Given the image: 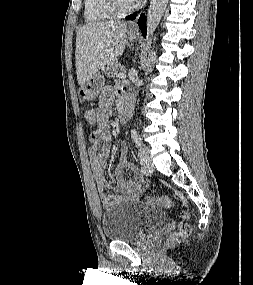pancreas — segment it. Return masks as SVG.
<instances>
[{"instance_id": "pancreas-1", "label": "pancreas", "mask_w": 253, "mask_h": 285, "mask_svg": "<svg viewBox=\"0 0 253 285\" xmlns=\"http://www.w3.org/2000/svg\"><path fill=\"white\" fill-rule=\"evenodd\" d=\"M124 68L116 61L111 62L108 64V67L106 68L107 77H113L118 74V72L123 71Z\"/></svg>"}]
</instances>
